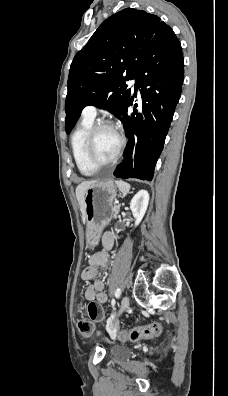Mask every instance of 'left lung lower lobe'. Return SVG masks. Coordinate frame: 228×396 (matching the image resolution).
Instances as JSON below:
<instances>
[{"label":"left lung lower lobe","mask_w":228,"mask_h":396,"mask_svg":"<svg viewBox=\"0 0 228 396\" xmlns=\"http://www.w3.org/2000/svg\"><path fill=\"white\" fill-rule=\"evenodd\" d=\"M183 55L180 42L171 28L159 34L148 47L135 77L134 96L130 97L121 115L128 137L124 159L114 171L118 178L151 181L156 162L172 121L183 84ZM140 87L142 104H134Z\"/></svg>","instance_id":"0a47b994"}]
</instances>
